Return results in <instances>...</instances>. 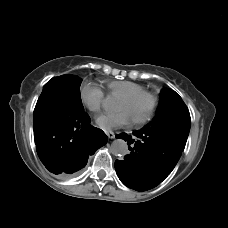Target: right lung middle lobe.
<instances>
[{
	"label": "right lung middle lobe",
	"mask_w": 228,
	"mask_h": 228,
	"mask_svg": "<svg viewBox=\"0 0 228 228\" xmlns=\"http://www.w3.org/2000/svg\"><path fill=\"white\" fill-rule=\"evenodd\" d=\"M82 80L73 75H62L49 80L43 87L37 105L48 97H55L59 104L74 107L82 106L80 85Z\"/></svg>",
	"instance_id": "obj_1"
}]
</instances>
